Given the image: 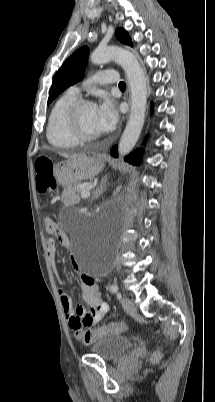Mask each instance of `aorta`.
Returning a JSON list of instances; mask_svg holds the SVG:
<instances>
[{
  "instance_id": "obj_1",
  "label": "aorta",
  "mask_w": 215,
  "mask_h": 402,
  "mask_svg": "<svg viewBox=\"0 0 215 402\" xmlns=\"http://www.w3.org/2000/svg\"><path fill=\"white\" fill-rule=\"evenodd\" d=\"M91 61L93 64L115 61L121 65L127 76L131 92V113L118 145L119 154L126 155L135 146L144 124L147 102L145 73L134 54L116 46L96 49L91 54Z\"/></svg>"
}]
</instances>
